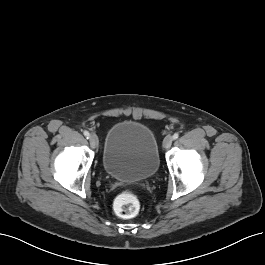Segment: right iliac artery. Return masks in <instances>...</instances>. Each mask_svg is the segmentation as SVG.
Segmentation results:
<instances>
[{"label": "right iliac artery", "mask_w": 265, "mask_h": 265, "mask_svg": "<svg viewBox=\"0 0 265 265\" xmlns=\"http://www.w3.org/2000/svg\"><path fill=\"white\" fill-rule=\"evenodd\" d=\"M83 134H84V136H85L87 139H89V137H90V134H89V132H88V131H84V132H83Z\"/></svg>", "instance_id": "obj_1"}]
</instances>
